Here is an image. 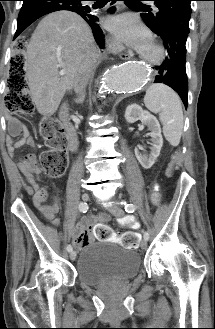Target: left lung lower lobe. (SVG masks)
Returning <instances> with one entry per match:
<instances>
[{
    "mask_svg": "<svg viewBox=\"0 0 215 329\" xmlns=\"http://www.w3.org/2000/svg\"><path fill=\"white\" fill-rule=\"evenodd\" d=\"M156 33L163 41L168 56L161 66L156 67L158 74L155 83H164L174 89L181 97L185 108L188 105V82L186 74V41L188 35L174 26L164 25Z\"/></svg>",
    "mask_w": 215,
    "mask_h": 329,
    "instance_id": "left-lung-lower-lobe-1",
    "label": "left lung lower lobe"
}]
</instances>
